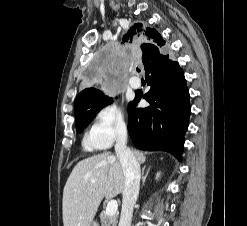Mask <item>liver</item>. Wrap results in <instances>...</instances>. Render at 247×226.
<instances>
[{"label":"liver","instance_id":"liver-1","mask_svg":"<svg viewBox=\"0 0 247 226\" xmlns=\"http://www.w3.org/2000/svg\"><path fill=\"white\" fill-rule=\"evenodd\" d=\"M134 154L140 163L145 162L142 152L135 151ZM124 185L119 158L110 152L78 162L63 190L64 226H90L103 198L111 199L121 194Z\"/></svg>","mask_w":247,"mask_h":226}]
</instances>
